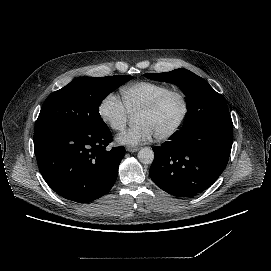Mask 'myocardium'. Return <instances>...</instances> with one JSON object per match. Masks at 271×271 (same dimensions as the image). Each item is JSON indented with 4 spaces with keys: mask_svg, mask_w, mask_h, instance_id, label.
<instances>
[{
    "mask_svg": "<svg viewBox=\"0 0 271 271\" xmlns=\"http://www.w3.org/2000/svg\"><path fill=\"white\" fill-rule=\"evenodd\" d=\"M173 95H177L180 97L181 101H182V105H183V111H182V115L179 119V121L177 122V124L171 129L169 130L167 133L157 136L156 139L158 141H166L169 140L171 138H173L183 127V125L185 124L188 115H189V100H188V96L187 94L180 90V89H176V88H171L169 90H167L166 92L162 93L161 95H159L158 97H156L150 104H148L147 106H145L144 108H142L141 110H139L138 114H149V113H153L155 112L169 97L173 96Z\"/></svg>",
    "mask_w": 271,
    "mask_h": 271,
    "instance_id": "obj_1",
    "label": "myocardium"
}]
</instances>
